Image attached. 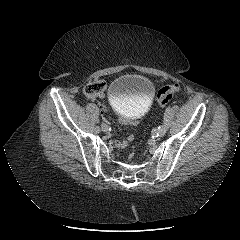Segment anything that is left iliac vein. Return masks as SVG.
Segmentation results:
<instances>
[{
  "label": "left iliac vein",
  "mask_w": 240,
  "mask_h": 240,
  "mask_svg": "<svg viewBox=\"0 0 240 240\" xmlns=\"http://www.w3.org/2000/svg\"><path fill=\"white\" fill-rule=\"evenodd\" d=\"M167 125V128L166 129H163L162 127L160 128L159 130V135L162 137L164 136L166 133H167V130H168V124L167 123H164Z\"/></svg>",
  "instance_id": "1"
}]
</instances>
